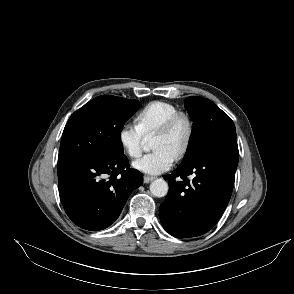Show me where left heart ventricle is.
I'll return each mask as SVG.
<instances>
[{
    "label": "left heart ventricle",
    "instance_id": "left-heart-ventricle-1",
    "mask_svg": "<svg viewBox=\"0 0 294 294\" xmlns=\"http://www.w3.org/2000/svg\"><path fill=\"white\" fill-rule=\"evenodd\" d=\"M186 135V126L184 123H180L169 134L166 135H154L153 148H164L176 155L178 149L182 145Z\"/></svg>",
    "mask_w": 294,
    "mask_h": 294
}]
</instances>
